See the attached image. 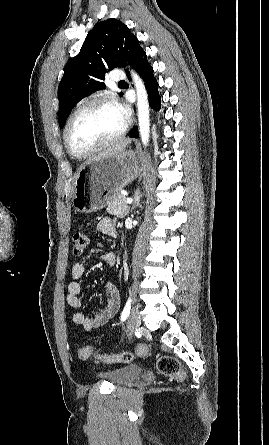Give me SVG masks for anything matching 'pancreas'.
Segmentation results:
<instances>
[{
  "instance_id": "pancreas-1",
  "label": "pancreas",
  "mask_w": 269,
  "mask_h": 445,
  "mask_svg": "<svg viewBox=\"0 0 269 445\" xmlns=\"http://www.w3.org/2000/svg\"><path fill=\"white\" fill-rule=\"evenodd\" d=\"M127 197L123 194H117L109 202L107 211L109 214L124 218L129 212V205L125 202Z\"/></svg>"
}]
</instances>
